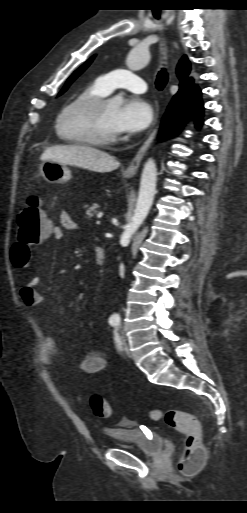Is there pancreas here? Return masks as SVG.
<instances>
[{
    "instance_id": "pancreas-1",
    "label": "pancreas",
    "mask_w": 247,
    "mask_h": 513,
    "mask_svg": "<svg viewBox=\"0 0 247 513\" xmlns=\"http://www.w3.org/2000/svg\"><path fill=\"white\" fill-rule=\"evenodd\" d=\"M85 207L87 208L86 209L87 218H92L95 216V214L100 212L99 205L96 203H93L91 206L86 205Z\"/></svg>"
}]
</instances>
